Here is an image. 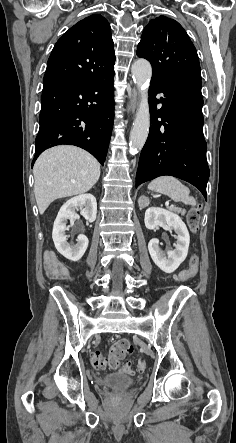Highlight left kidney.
Returning a JSON list of instances; mask_svg holds the SVG:
<instances>
[{
    "label": "left kidney",
    "mask_w": 236,
    "mask_h": 443,
    "mask_svg": "<svg viewBox=\"0 0 236 443\" xmlns=\"http://www.w3.org/2000/svg\"><path fill=\"white\" fill-rule=\"evenodd\" d=\"M144 222L149 230L166 226L177 234L174 250L162 251L157 238L151 239L148 243L149 253L154 263L165 273L174 272L188 254L190 236L185 223L177 214L157 207H150L146 210Z\"/></svg>",
    "instance_id": "left-kidney-1"
}]
</instances>
